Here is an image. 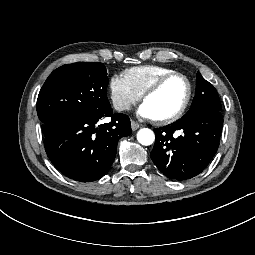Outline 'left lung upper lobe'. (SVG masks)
I'll return each instance as SVG.
<instances>
[{
  "label": "left lung upper lobe",
  "instance_id": "1",
  "mask_svg": "<svg viewBox=\"0 0 255 255\" xmlns=\"http://www.w3.org/2000/svg\"><path fill=\"white\" fill-rule=\"evenodd\" d=\"M198 107H209L221 110L218 93L211 83L206 81L202 75L197 73V87L190 110Z\"/></svg>",
  "mask_w": 255,
  "mask_h": 255
}]
</instances>
